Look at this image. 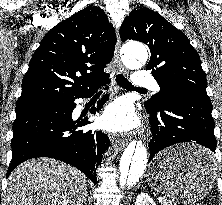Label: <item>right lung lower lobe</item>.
Instances as JSON below:
<instances>
[{
  "label": "right lung lower lobe",
  "mask_w": 222,
  "mask_h": 205,
  "mask_svg": "<svg viewBox=\"0 0 222 205\" xmlns=\"http://www.w3.org/2000/svg\"><path fill=\"white\" fill-rule=\"evenodd\" d=\"M108 82L107 78L68 101L41 99L16 104L12 160L7 177L25 160L51 157L73 165L96 184V169L110 140L101 131L78 130L90 122L88 117L74 121L72 112L76 107V98L90 97L96 88ZM107 100L108 95H105L90 113L98 112Z\"/></svg>",
  "instance_id": "1"
}]
</instances>
